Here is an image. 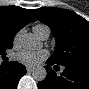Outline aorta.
I'll return each mask as SVG.
<instances>
[{
  "label": "aorta",
  "mask_w": 89,
  "mask_h": 89,
  "mask_svg": "<svg viewBox=\"0 0 89 89\" xmlns=\"http://www.w3.org/2000/svg\"><path fill=\"white\" fill-rule=\"evenodd\" d=\"M22 45L28 50H35L42 47L40 40L32 33H26L22 37ZM47 71L44 67H37L32 72V77L36 81H43L46 78Z\"/></svg>",
  "instance_id": "aorta-1"
}]
</instances>
